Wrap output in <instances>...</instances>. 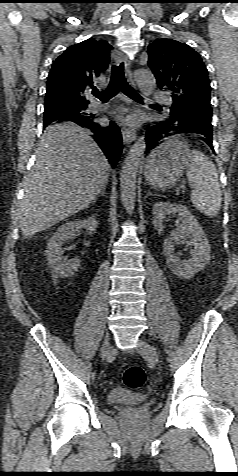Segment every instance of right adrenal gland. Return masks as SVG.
Returning a JSON list of instances; mask_svg holds the SVG:
<instances>
[{"label": "right adrenal gland", "instance_id": "right-adrenal-gland-1", "mask_svg": "<svg viewBox=\"0 0 238 476\" xmlns=\"http://www.w3.org/2000/svg\"><path fill=\"white\" fill-rule=\"evenodd\" d=\"M100 195H103L104 197H106V187L102 188L101 192L97 195V197L94 199L93 202H95L98 199V197H100Z\"/></svg>", "mask_w": 238, "mask_h": 476}]
</instances>
